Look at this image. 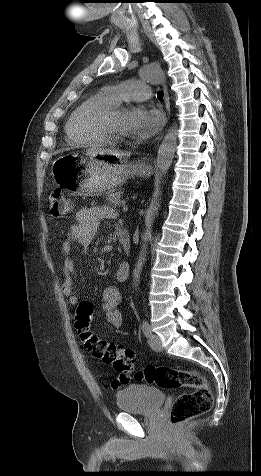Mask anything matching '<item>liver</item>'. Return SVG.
Wrapping results in <instances>:
<instances>
[{"label":"liver","instance_id":"1","mask_svg":"<svg viewBox=\"0 0 261 476\" xmlns=\"http://www.w3.org/2000/svg\"><path fill=\"white\" fill-rule=\"evenodd\" d=\"M87 153H95V154H100V155H110V156H115L116 158H119V159H122L126 156H128V154L124 153V152H119V151H116V150H111V149H102V148H99V147H92L90 149H88L86 151Z\"/></svg>","mask_w":261,"mask_h":476}]
</instances>
